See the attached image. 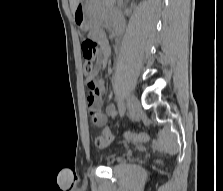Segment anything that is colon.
<instances>
[{
    "label": "colon",
    "mask_w": 223,
    "mask_h": 191,
    "mask_svg": "<svg viewBox=\"0 0 223 191\" xmlns=\"http://www.w3.org/2000/svg\"><path fill=\"white\" fill-rule=\"evenodd\" d=\"M99 45L91 38H87L82 43L83 62L82 67L84 74L88 77V86L95 89L96 85L93 82V73L95 69V62L98 55ZM126 140L136 143H145L149 140V136L145 132H125ZM113 140V135L109 129H104L102 134L95 139L97 147H104L110 144Z\"/></svg>",
    "instance_id": "colon-1"
}]
</instances>
